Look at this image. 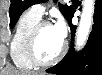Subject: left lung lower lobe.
Masks as SVG:
<instances>
[{
    "label": "left lung lower lobe",
    "instance_id": "0a47b994",
    "mask_svg": "<svg viewBox=\"0 0 102 75\" xmlns=\"http://www.w3.org/2000/svg\"><path fill=\"white\" fill-rule=\"evenodd\" d=\"M74 10L67 19L71 28V38L75 36L76 27L71 19ZM69 49L67 55L55 66L47 69V73L58 75H102V0L95 3L94 26L89 40L82 51Z\"/></svg>",
    "mask_w": 102,
    "mask_h": 75
}]
</instances>
